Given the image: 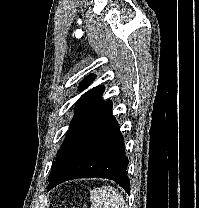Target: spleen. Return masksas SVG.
<instances>
[{
    "mask_svg": "<svg viewBox=\"0 0 199 208\" xmlns=\"http://www.w3.org/2000/svg\"><path fill=\"white\" fill-rule=\"evenodd\" d=\"M91 208H126L121 193L111 186H102L91 191Z\"/></svg>",
    "mask_w": 199,
    "mask_h": 208,
    "instance_id": "spleen-1",
    "label": "spleen"
}]
</instances>
